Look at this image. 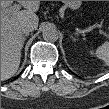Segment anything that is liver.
Instances as JSON below:
<instances>
[{
  "label": "liver",
  "mask_w": 109,
  "mask_h": 109,
  "mask_svg": "<svg viewBox=\"0 0 109 109\" xmlns=\"http://www.w3.org/2000/svg\"><path fill=\"white\" fill-rule=\"evenodd\" d=\"M9 2L2 4L8 5ZM23 6L26 10H20ZM16 5L2 8L1 13V77L2 80L11 78L18 70L21 60V50L24 40L20 26L23 22H30L34 28L38 27L39 1H20Z\"/></svg>",
  "instance_id": "obj_1"
}]
</instances>
